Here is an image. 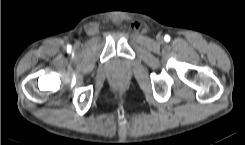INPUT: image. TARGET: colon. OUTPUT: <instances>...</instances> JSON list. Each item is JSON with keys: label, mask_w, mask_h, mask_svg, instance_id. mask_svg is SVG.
I'll return each mask as SVG.
<instances>
[{"label": "colon", "mask_w": 245, "mask_h": 145, "mask_svg": "<svg viewBox=\"0 0 245 145\" xmlns=\"http://www.w3.org/2000/svg\"><path fill=\"white\" fill-rule=\"evenodd\" d=\"M114 91H121L124 88V83L120 80H116L112 84Z\"/></svg>", "instance_id": "obj_1"}]
</instances>
